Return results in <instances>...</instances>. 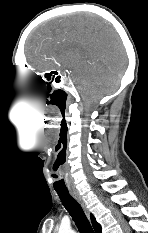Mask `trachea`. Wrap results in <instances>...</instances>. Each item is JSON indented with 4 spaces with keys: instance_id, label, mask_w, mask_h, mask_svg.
Listing matches in <instances>:
<instances>
[{
    "instance_id": "obj_1",
    "label": "trachea",
    "mask_w": 148,
    "mask_h": 233,
    "mask_svg": "<svg viewBox=\"0 0 148 233\" xmlns=\"http://www.w3.org/2000/svg\"><path fill=\"white\" fill-rule=\"evenodd\" d=\"M63 206L71 215L80 233H94L80 204L69 194L68 191H56Z\"/></svg>"
}]
</instances>
